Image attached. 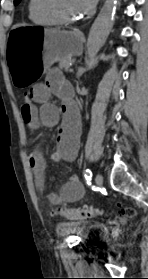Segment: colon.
Masks as SVG:
<instances>
[{"mask_svg": "<svg viewBox=\"0 0 148 279\" xmlns=\"http://www.w3.org/2000/svg\"><path fill=\"white\" fill-rule=\"evenodd\" d=\"M24 104L29 105L32 102V95L30 90L24 93ZM100 213L99 210L89 207L80 208H63L59 210L58 214L66 219H85L90 218ZM135 210L128 207L121 208V215L123 217H132L135 215Z\"/></svg>", "mask_w": 148, "mask_h": 279, "instance_id": "5ec220e1", "label": "colon"}]
</instances>
